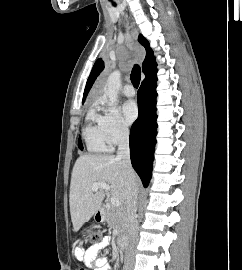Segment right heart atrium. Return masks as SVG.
I'll list each match as a JSON object with an SVG mask.
<instances>
[{
	"mask_svg": "<svg viewBox=\"0 0 242 270\" xmlns=\"http://www.w3.org/2000/svg\"><path fill=\"white\" fill-rule=\"evenodd\" d=\"M102 116L104 130L111 145L120 144L128 138L130 134L129 126L118 109L105 108Z\"/></svg>",
	"mask_w": 242,
	"mask_h": 270,
	"instance_id": "d8ad5b80",
	"label": "right heart atrium"
}]
</instances>
